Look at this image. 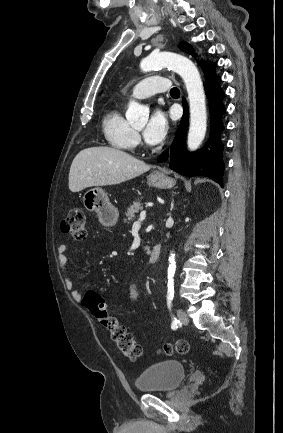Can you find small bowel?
<instances>
[{
  "label": "small bowel",
  "instance_id": "c3829d8e",
  "mask_svg": "<svg viewBox=\"0 0 283 433\" xmlns=\"http://www.w3.org/2000/svg\"><path fill=\"white\" fill-rule=\"evenodd\" d=\"M58 263L65 275V285L68 290L71 291V296L76 302H82V294L74 288L73 281L67 276V266H68V256H67V246L61 244L56 249ZM128 299L133 304H138L141 301V293L139 287L136 284L129 285L127 289Z\"/></svg>",
  "mask_w": 283,
  "mask_h": 433
}]
</instances>
